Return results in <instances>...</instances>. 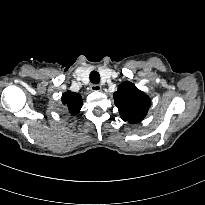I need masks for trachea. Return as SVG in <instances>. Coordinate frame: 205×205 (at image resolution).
I'll list each match as a JSON object with an SVG mask.
<instances>
[{
  "label": "trachea",
  "mask_w": 205,
  "mask_h": 205,
  "mask_svg": "<svg viewBox=\"0 0 205 205\" xmlns=\"http://www.w3.org/2000/svg\"><path fill=\"white\" fill-rule=\"evenodd\" d=\"M90 81L93 83V84H98L100 82V75L97 71H92L90 73Z\"/></svg>",
  "instance_id": "trachea-1"
}]
</instances>
